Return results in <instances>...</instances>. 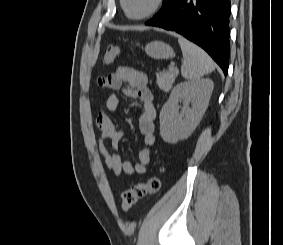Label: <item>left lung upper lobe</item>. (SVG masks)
Segmentation results:
<instances>
[{
  "mask_svg": "<svg viewBox=\"0 0 283 245\" xmlns=\"http://www.w3.org/2000/svg\"><path fill=\"white\" fill-rule=\"evenodd\" d=\"M172 1H173V0H164V1H163L162 8H161V10L158 12V14L161 13V12H163V11L172 3Z\"/></svg>",
  "mask_w": 283,
  "mask_h": 245,
  "instance_id": "left-lung-upper-lobe-1",
  "label": "left lung upper lobe"
}]
</instances>
